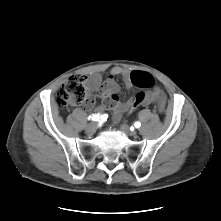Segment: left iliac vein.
<instances>
[{
  "label": "left iliac vein",
  "instance_id": "1",
  "mask_svg": "<svg viewBox=\"0 0 221 221\" xmlns=\"http://www.w3.org/2000/svg\"><path fill=\"white\" fill-rule=\"evenodd\" d=\"M120 129L123 133H125L126 135L128 136H136L137 135V132L135 130H131L129 129V127L126 125V124H122L120 126Z\"/></svg>",
  "mask_w": 221,
  "mask_h": 221
}]
</instances>
